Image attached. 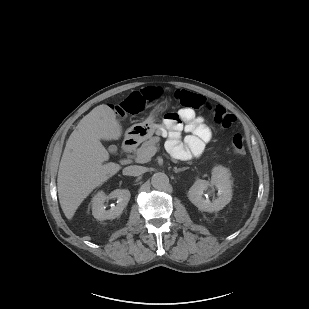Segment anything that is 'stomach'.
<instances>
[{
	"label": "stomach",
	"mask_w": 309,
	"mask_h": 309,
	"mask_svg": "<svg viewBox=\"0 0 309 309\" xmlns=\"http://www.w3.org/2000/svg\"><path fill=\"white\" fill-rule=\"evenodd\" d=\"M168 106V102L162 101L155 107L150 116L142 123L132 125L125 133L127 138L136 141H144L150 138L155 132V120L158 114L164 111Z\"/></svg>",
	"instance_id": "obj_1"
}]
</instances>
